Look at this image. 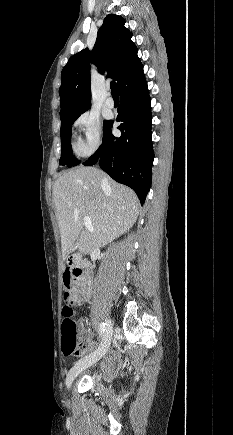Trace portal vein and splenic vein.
<instances>
[{"instance_id":"obj_1","label":"portal vein and splenic vein","mask_w":233,"mask_h":435,"mask_svg":"<svg viewBox=\"0 0 233 435\" xmlns=\"http://www.w3.org/2000/svg\"><path fill=\"white\" fill-rule=\"evenodd\" d=\"M84 226L91 232H93V227H92V223H91V219L89 217H84Z\"/></svg>"}]
</instances>
